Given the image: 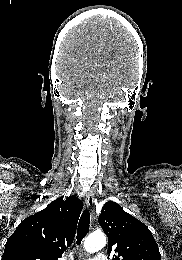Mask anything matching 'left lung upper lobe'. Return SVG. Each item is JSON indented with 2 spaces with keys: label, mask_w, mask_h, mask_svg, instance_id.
I'll use <instances>...</instances> for the list:
<instances>
[{
  "label": "left lung upper lobe",
  "mask_w": 182,
  "mask_h": 260,
  "mask_svg": "<svg viewBox=\"0 0 182 260\" xmlns=\"http://www.w3.org/2000/svg\"><path fill=\"white\" fill-rule=\"evenodd\" d=\"M99 223L108 237V253H117L113 260H161L156 241L148 227L125 212L113 201L101 210Z\"/></svg>",
  "instance_id": "left-lung-upper-lobe-1"
}]
</instances>
